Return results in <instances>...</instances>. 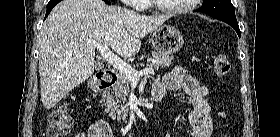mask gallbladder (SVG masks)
<instances>
[{
  "label": "gallbladder",
  "mask_w": 280,
  "mask_h": 137,
  "mask_svg": "<svg viewBox=\"0 0 280 137\" xmlns=\"http://www.w3.org/2000/svg\"><path fill=\"white\" fill-rule=\"evenodd\" d=\"M103 68V65L101 63H96V69H102Z\"/></svg>",
  "instance_id": "1"
}]
</instances>
